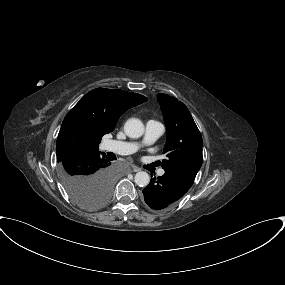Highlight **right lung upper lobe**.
I'll use <instances>...</instances> for the list:
<instances>
[{
	"label": "right lung upper lobe",
	"instance_id": "cb5924a9",
	"mask_svg": "<svg viewBox=\"0 0 285 285\" xmlns=\"http://www.w3.org/2000/svg\"><path fill=\"white\" fill-rule=\"evenodd\" d=\"M146 100L119 89L96 88L87 93L64 118L56 143L58 163L97 151L102 137L114 130L119 117Z\"/></svg>",
	"mask_w": 285,
	"mask_h": 285
}]
</instances>
